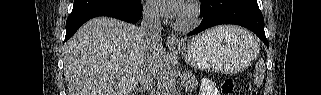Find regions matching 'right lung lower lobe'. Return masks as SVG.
Masks as SVG:
<instances>
[{
  "instance_id": "right-lung-lower-lobe-1",
  "label": "right lung lower lobe",
  "mask_w": 321,
  "mask_h": 95,
  "mask_svg": "<svg viewBox=\"0 0 321 95\" xmlns=\"http://www.w3.org/2000/svg\"><path fill=\"white\" fill-rule=\"evenodd\" d=\"M142 15V6L122 12L114 9H94L72 12L66 22V36L65 41L74 35L77 29L86 21L97 16H108L116 19L124 20L129 23L137 22ZM64 41V42H65Z\"/></svg>"
}]
</instances>
